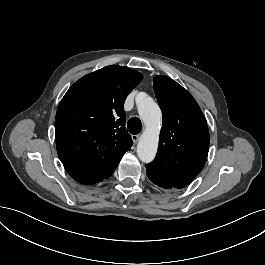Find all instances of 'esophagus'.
Returning <instances> with one entry per match:
<instances>
[{
  "label": "esophagus",
  "instance_id": "34e87169",
  "mask_svg": "<svg viewBox=\"0 0 265 265\" xmlns=\"http://www.w3.org/2000/svg\"><path fill=\"white\" fill-rule=\"evenodd\" d=\"M132 140H133L134 144H137V142L139 140V135H132Z\"/></svg>",
  "mask_w": 265,
  "mask_h": 265
}]
</instances>
